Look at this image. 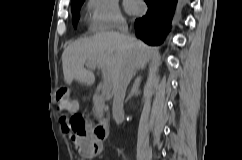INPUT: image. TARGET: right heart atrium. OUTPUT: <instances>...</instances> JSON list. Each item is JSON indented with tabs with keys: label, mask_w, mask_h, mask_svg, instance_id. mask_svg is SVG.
Instances as JSON below:
<instances>
[{
	"label": "right heart atrium",
	"mask_w": 242,
	"mask_h": 160,
	"mask_svg": "<svg viewBox=\"0 0 242 160\" xmlns=\"http://www.w3.org/2000/svg\"><path fill=\"white\" fill-rule=\"evenodd\" d=\"M87 10L90 23L96 31L120 28L125 23L118 0H88Z\"/></svg>",
	"instance_id": "1"
}]
</instances>
